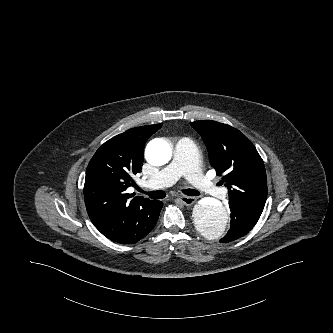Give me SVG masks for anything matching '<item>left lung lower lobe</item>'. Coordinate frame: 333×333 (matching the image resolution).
Instances as JSON below:
<instances>
[{"label":"left lung lower lobe","mask_w":333,"mask_h":333,"mask_svg":"<svg viewBox=\"0 0 333 333\" xmlns=\"http://www.w3.org/2000/svg\"><path fill=\"white\" fill-rule=\"evenodd\" d=\"M230 230L220 241L227 243L247 234L257 223L260 214L246 211L237 206H230Z\"/></svg>","instance_id":"left-lung-lower-lobe-1"}]
</instances>
